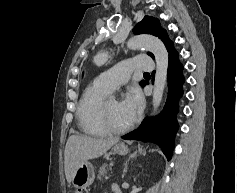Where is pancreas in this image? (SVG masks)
<instances>
[{
    "label": "pancreas",
    "mask_w": 237,
    "mask_h": 193,
    "mask_svg": "<svg viewBox=\"0 0 237 193\" xmlns=\"http://www.w3.org/2000/svg\"><path fill=\"white\" fill-rule=\"evenodd\" d=\"M110 169V166L107 164H103L99 171H98V176L97 178L100 180L102 176H105L107 174V171Z\"/></svg>",
    "instance_id": "cf45deb5"
}]
</instances>
